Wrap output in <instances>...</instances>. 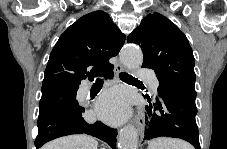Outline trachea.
I'll return each instance as SVG.
<instances>
[{
  "mask_svg": "<svg viewBox=\"0 0 227 149\" xmlns=\"http://www.w3.org/2000/svg\"><path fill=\"white\" fill-rule=\"evenodd\" d=\"M119 77L122 81L125 82H137V83H142V81H139L138 79H136L135 77L125 73V72H121L119 74ZM95 84H103V80L102 79H97Z\"/></svg>",
  "mask_w": 227,
  "mask_h": 149,
  "instance_id": "1",
  "label": "trachea"
}]
</instances>
